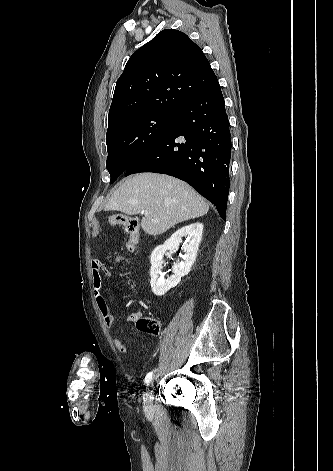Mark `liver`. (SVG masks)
Masks as SVG:
<instances>
[{"label":"liver","mask_w":333,"mask_h":471,"mask_svg":"<svg viewBox=\"0 0 333 471\" xmlns=\"http://www.w3.org/2000/svg\"><path fill=\"white\" fill-rule=\"evenodd\" d=\"M147 210L143 231L160 235L178 223L205 215L208 203L187 183L157 173L136 174L120 185L109 197L105 211L135 215Z\"/></svg>","instance_id":"obj_1"}]
</instances>
